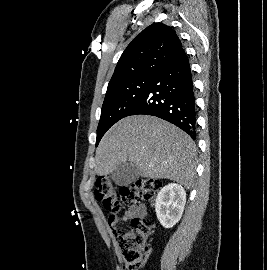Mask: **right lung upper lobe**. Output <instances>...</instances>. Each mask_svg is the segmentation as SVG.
I'll list each match as a JSON object with an SVG mask.
<instances>
[{
	"mask_svg": "<svg viewBox=\"0 0 267 270\" xmlns=\"http://www.w3.org/2000/svg\"><path fill=\"white\" fill-rule=\"evenodd\" d=\"M181 49L171 27L162 23L148 26L122 53L108 89L139 76L155 75Z\"/></svg>",
	"mask_w": 267,
	"mask_h": 270,
	"instance_id": "1",
	"label": "right lung upper lobe"
}]
</instances>
